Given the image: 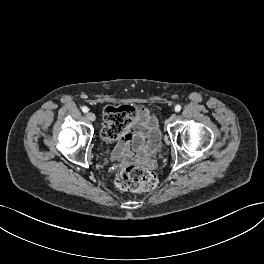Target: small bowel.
<instances>
[{"label": "small bowel", "mask_w": 264, "mask_h": 264, "mask_svg": "<svg viewBox=\"0 0 264 264\" xmlns=\"http://www.w3.org/2000/svg\"><path fill=\"white\" fill-rule=\"evenodd\" d=\"M105 124L104 120L103 127ZM159 137L160 131L156 117L146 108L135 109L131 129L116 139L113 155L117 159L129 162L132 159L131 149L139 154H147L154 149Z\"/></svg>", "instance_id": "c3829d8e"}]
</instances>
